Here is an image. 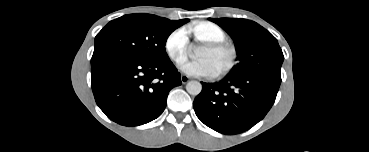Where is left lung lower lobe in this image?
Segmentation results:
<instances>
[{
    "label": "left lung lower lobe",
    "mask_w": 369,
    "mask_h": 152,
    "mask_svg": "<svg viewBox=\"0 0 369 152\" xmlns=\"http://www.w3.org/2000/svg\"><path fill=\"white\" fill-rule=\"evenodd\" d=\"M281 77L231 75L216 83H203L194 100L197 117L226 135L244 132L261 121L272 107Z\"/></svg>",
    "instance_id": "obj_1"
}]
</instances>
